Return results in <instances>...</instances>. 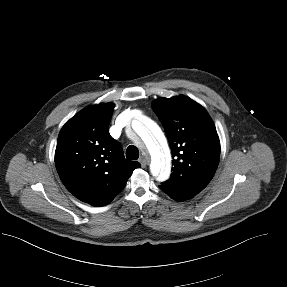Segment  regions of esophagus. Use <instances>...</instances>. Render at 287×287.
<instances>
[{
  "label": "esophagus",
  "instance_id": "obj_1",
  "mask_svg": "<svg viewBox=\"0 0 287 287\" xmlns=\"http://www.w3.org/2000/svg\"><path fill=\"white\" fill-rule=\"evenodd\" d=\"M139 162L142 168H145L147 166V160L144 157H141Z\"/></svg>",
  "mask_w": 287,
  "mask_h": 287
}]
</instances>
